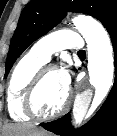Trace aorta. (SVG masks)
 <instances>
[{
	"label": "aorta",
	"instance_id": "1",
	"mask_svg": "<svg viewBox=\"0 0 117 136\" xmlns=\"http://www.w3.org/2000/svg\"><path fill=\"white\" fill-rule=\"evenodd\" d=\"M72 21L86 40L89 81L95 88L94 97L90 89H85L75 98L73 118L77 125L88 114L91 101L96 107L108 95L114 79V58L110 37L101 23L82 15Z\"/></svg>",
	"mask_w": 117,
	"mask_h": 136
}]
</instances>
